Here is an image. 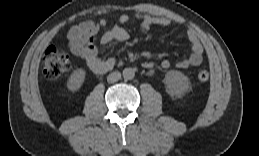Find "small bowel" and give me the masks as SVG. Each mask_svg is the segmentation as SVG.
Here are the masks:
<instances>
[{"label": "small bowel", "instance_id": "1", "mask_svg": "<svg viewBox=\"0 0 259 156\" xmlns=\"http://www.w3.org/2000/svg\"><path fill=\"white\" fill-rule=\"evenodd\" d=\"M131 21H139L141 27L145 30L153 26L167 29L171 25V20L166 17L141 13L133 15L122 14L119 16L118 22L101 35L99 39L100 44L109 45L113 42L127 40L129 34L123 26ZM107 25L108 21L104 18L98 21L89 20L71 27L67 33L70 51L75 56L83 59L89 69L96 74L106 73L111 70L115 64L113 58H101L96 45L97 33L101 29H105ZM186 36L191 44V52L186 58L176 63V67L179 69L198 67L203 61V46L198 34L194 30H189ZM160 66L163 69L169 68V60H162ZM144 67L148 69L153 68L154 63L145 62Z\"/></svg>", "mask_w": 259, "mask_h": 156}]
</instances>
